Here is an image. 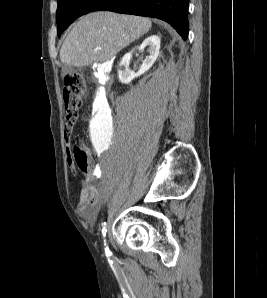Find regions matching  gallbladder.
Wrapping results in <instances>:
<instances>
[{
	"label": "gallbladder",
	"instance_id": "bac80fb5",
	"mask_svg": "<svg viewBox=\"0 0 267 298\" xmlns=\"http://www.w3.org/2000/svg\"><path fill=\"white\" fill-rule=\"evenodd\" d=\"M73 71V68L71 66H65L63 68V74H67Z\"/></svg>",
	"mask_w": 267,
	"mask_h": 298
}]
</instances>
